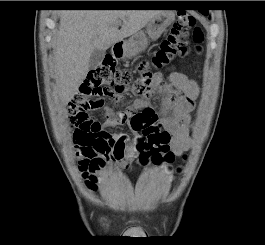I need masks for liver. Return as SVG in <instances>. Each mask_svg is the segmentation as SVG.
I'll return each mask as SVG.
<instances>
[{
  "mask_svg": "<svg viewBox=\"0 0 265 245\" xmlns=\"http://www.w3.org/2000/svg\"><path fill=\"white\" fill-rule=\"evenodd\" d=\"M160 10H66L60 13L55 45L58 95L67 104L77 93L89 70L95 49L107 50L132 36L159 15ZM122 21L119 30L117 22Z\"/></svg>",
  "mask_w": 265,
  "mask_h": 245,
  "instance_id": "6515ba94",
  "label": "liver"
}]
</instances>
